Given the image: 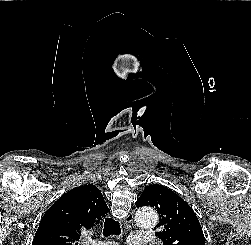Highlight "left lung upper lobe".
I'll use <instances>...</instances> for the list:
<instances>
[{"instance_id": "obj_1", "label": "left lung upper lobe", "mask_w": 251, "mask_h": 245, "mask_svg": "<svg viewBox=\"0 0 251 245\" xmlns=\"http://www.w3.org/2000/svg\"><path fill=\"white\" fill-rule=\"evenodd\" d=\"M152 206L160 215L155 234L163 245H205L198 218L191 207L169 188L153 184L145 188L136 206Z\"/></svg>"}]
</instances>
